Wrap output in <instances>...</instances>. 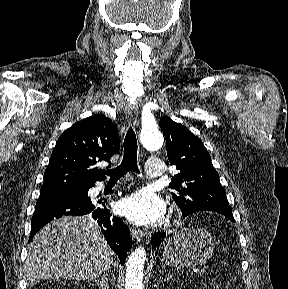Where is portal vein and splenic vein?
<instances>
[{
    "label": "portal vein and splenic vein",
    "instance_id": "1",
    "mask_svg": "<svg viewBox=\"0 0 288 289\" xmlns=\"http://www.w3.org/2000/svg\"><path fill=\"white\" fill-rule=\"evenodd\" d=\"M205 272H206L205 268L200 269V274H205Z\"/></svg>",
    "mask_w": 288,
    "mask_h": 289
}]
</instances>
